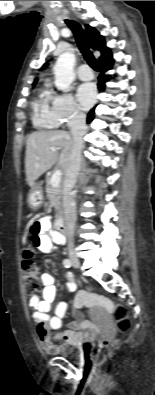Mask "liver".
Wrapping results in <instances>:
<instances>
[{
    "label": "liver",
    "instance_id": "6515ba94",
    "mask_svg": "<svg viewBox=\"0 0 155 395\" xmlns=\"http://www.w3.org/2000/svg\"><path fill=\"white\" fill-rule=\"evenodd\" d=\"M73 145V136L67 131H36L30 134L26 142L25 156L28 185L31 187L56 162L65 171L69 164ZM52 148L62 151L58 154L52 152Z\"/></svg>",
    "mask_w": 155,
    "mask_h": 395
}]
</instances>
